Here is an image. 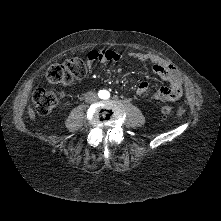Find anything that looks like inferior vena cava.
<instances>
[{
	"instance_id": "1",
	"label": "inferior vena cava",
	"mask_w": 221,
	"mask_h": 221,
	"mask_svg": "<svg viewBox=\"0 0 221 221\" xmlns=\"http://www.w3.org/2000/svg\"><path fill=\"white\" fill-rule=\"evenodd\" d=\"M97 99H98V96L93 91H89L85 94V101L87 103H93V102L97 101Z\"/></svg>"
}]
</instances>
